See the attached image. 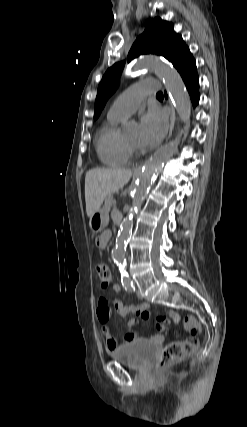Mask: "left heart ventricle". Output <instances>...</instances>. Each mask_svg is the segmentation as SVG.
Segmentation results:
<instances>
[{
    "label": "left heart ventricle",
    "instance_id": "b2bd125f",
    "mask_svg": "<svg viewBox=\"0 0 247 427\" xmlns=\"http://www.w3.org/2000/svg\"><path fill=\"white\" fill-rule=\"evenodd\" d=\"M126 140L129 141L130 143L137 144V142H138V133L135 132L134 134L130 135Z\"/></svg>",
    "mask_w": 247,
    "mask_h": 427
}]
</instances>
